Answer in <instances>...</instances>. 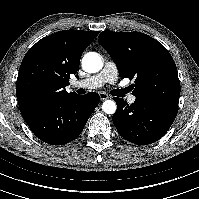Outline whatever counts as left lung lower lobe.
I'll use <instances>...</instances> for the list:
<instances>
[{
  "label": "left lung lower lobe",
  "instance_id": "1",
  "mask_svg": "<svg viewBox=\"0 0 199 199\" xmlns=\"http://www.w3.org/2000/svg\"><path fill=\"white\" fill-rule=\"evenodd\" d=\"M117 110L112 120L119 134L129 142L148 145L159 140L170 128L178 109L137 98L128 105L121 98H113Z\"/></svg>",
  "mask_w": 199,
  "mask_h": 199
}]
</instances>
